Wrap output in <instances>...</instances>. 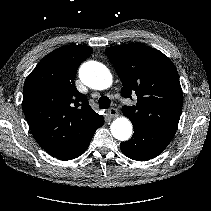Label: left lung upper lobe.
I'll list each match as a JSON object with an SVG mask.
<instances>
[{"mask_svg": "<svg viewBox=\"0 0 211 211\" xmlns=\"http://www.w3.org/2000/svg\"><path fill=\"white\" fill-rule=\"evenodd\" d=\"M122 81V96L137 95V103L123 106L132 124L176 130L183 93L174 64L162 52L139 44H124L105 50Z\"/></svg>", "mask_w": 211, "mask_h": 211, "instance_id": "5c2ea615", "label": "left lung upper lobe"}]
</instances>
